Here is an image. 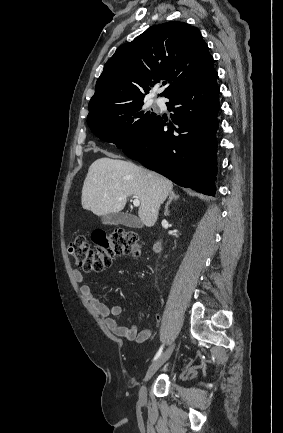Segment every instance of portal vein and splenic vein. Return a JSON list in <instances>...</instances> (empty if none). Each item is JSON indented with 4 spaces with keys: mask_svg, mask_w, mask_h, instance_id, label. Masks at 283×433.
<instances>
[{
    "mask_svg": "<svg viewBox=\"0 0 283 433\" xmlns=\"http://www.w3.org/2000/svg\"><path fill=\"white\" fill-rule=\"evenodd\" d=\"M133 204H134V206H139L140 200H138V198H134Z\"/></svg>",
    "mask_w": 283,
    "mask_h": 433,
    "instance_id": "1",
    "label": "portal vein and splenic vein"
}]
</instances>
